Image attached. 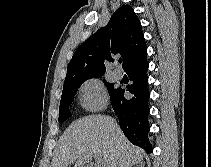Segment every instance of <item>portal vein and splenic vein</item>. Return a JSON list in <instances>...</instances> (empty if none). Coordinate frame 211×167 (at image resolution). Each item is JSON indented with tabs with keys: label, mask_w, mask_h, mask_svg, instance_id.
Here are the masks:
<instances>
[{
	"label": "portal vein and splenic vein",
	"mask_w": 211,
	"mask_h": 167,
	"mask_svg": "<svg viewBox=\"0 0 211 167\" xmlns=\"http://www.w3.org/2000/svg\"><path fill=\"white\" fill-rule=\"evenodd\" d=\"M94 159L97 163V167H104V162L100 156L94 155Z\"/></svg>",
	"instance_id": "obj_1"
}]
</instances>
